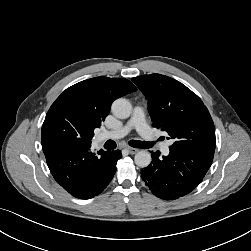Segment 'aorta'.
I'll list each match as a JSON object with an SVG mask.
<instances>
[{
  "instance_id": "aorta-1",
  "label": "aorta",
  "mask_w": 251,
  "mask_h": 251,
  "mask_svg": "<svg viewBox=\"0 0 251 251\" xmlns=\"http://www.w3.org/2000/svg\"><path fill=\"white\" fill-rule=\"evenodd\" d=\"M112 113L120 119H127L132 113V105L125 98L116 99L112 104ZM135 164L141 168L148 167L151 163V154L146 150H141L135 154Z\"/></svg>"
}]
</instances>
